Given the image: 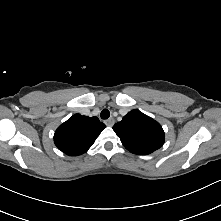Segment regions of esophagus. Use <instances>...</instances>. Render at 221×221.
<instances>
[{
  "label": "esophagus",
  "instance_id": "1",
  "mask_svg": "<svg viewBox=\"0 0 221 221\" xmlns=\"http://www.w3.org/2000/svg\"><path fill=\"white\" fill-rule=\"evenodd\" d=\"M114 123H115V120L113 118H109V119L105 120V124L107 126H113Z\"/></svg>",
  "mask_w": 221,
  "mask_h": 221
}]
</instances>
